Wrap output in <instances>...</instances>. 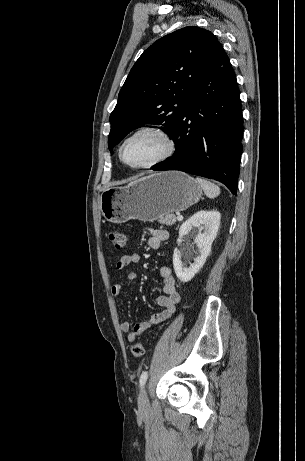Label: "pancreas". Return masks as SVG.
I'll list each match as a JSON object with an SVG mask.
<instances>
[{
	"instance_id": "cf45deb5",
	"label": "pancreas",
	"mask_w": 305,
	"mask_h": 461,
	"mask_svg": "<svg viewBox=\"0 0 305 461\" xmlns=\"http://www.w3.org/2000/svg\"><path fill=\"white\" fill-rule=\"evenodd\" d=\"M177 221V218L174 214H166L164 217L159 219L161 225L172 226Z\"/></svg>"
}]
</instances>
